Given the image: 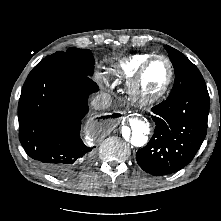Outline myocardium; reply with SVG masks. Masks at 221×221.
Here are the masks:
<instances>
[{"label":"myocardium","instance_id":"myocardium-1","mask_svg":"<svg viewBox=\"0 0 221 221\" xmlns=\"http://www.w3.org/2000/svg\"><path fill=\"white\" fill-rule=\"evenodd\" d=\"M157 59L164 60L169 67V76L166 84L161 90L154 94H145L141 91L140 85L142 78L148 67ZM175 70L172 61L165 55L156 54L146 59L138 68L135 75L128 83V92L132 100L140 105H151L163 99L171 90L174 82Z\"/></svg>","mask_w":221,"mask_h":221}]
</instances>
